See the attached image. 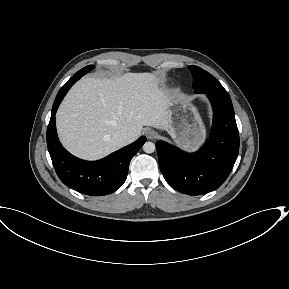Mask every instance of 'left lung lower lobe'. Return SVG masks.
I'll list each match as a JSON object with an SVG mask.
<instances>
[{
	"label": "left lung lower lobe",
	"mask_w": 289,
	"mask_h": 289,
	"mask_svg": "<svg viewBox=\"0 0 289 289\" xmlns=\"http://www.w3.org/2000/svg\"><path fill=\"white\" fill-rule=\"evenodd\" d=\"M214 118L210 139L188 154L164 141L156 142L159 166L176 190L200 195L215 190L229 176L239 152V133L230 96L207 94Z\"/></svg>",
	"instance_id": "obj_1"
}]
</instances>
